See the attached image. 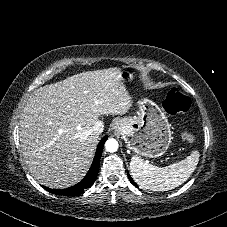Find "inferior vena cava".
<instances>
[{"label":"inferior vena cava","mask_w":227,"mask_h":227,"mask_svg":"<svg viewBox=\"0 0 227 227\" xmlns=\"http://www.w3.org/2000/svg\"><path fill=\"white\" fill-rule=\"evenodd\" d=\"M103 130H104V123L102 121L99 120L93 125V131L95 133L100 134L103 132Z\"/></svg>","instance_id":"inferior-vena-cava-1"}]
</instances>
